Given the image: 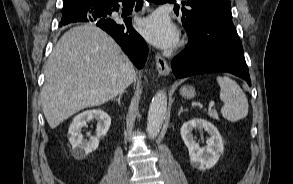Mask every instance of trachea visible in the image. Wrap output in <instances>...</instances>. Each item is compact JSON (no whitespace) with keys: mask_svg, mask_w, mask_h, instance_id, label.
Returning a JSON list of instances; mask_svg holds the SVG:
<instances>
[{"mask_svg":"<svg viewBox=\"0 0 293 184\" xmlns=\"http://www.w3.org/2000/svg\"><path fill=\"white\" fill-rule=\"evenodd\" d=\"M149 2H155V3H158V2H162V1H165V0H148Z\"/></svg>","mask_w":293,"mask_h":184,"instance_id":"3493384b","label":"trachea"}]
</instances>
